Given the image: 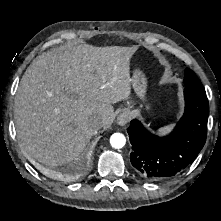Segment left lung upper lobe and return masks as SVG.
I'll use <instances>...</instances> for the list:
<instances>
[{
    "instance_id": "5c2ea615",
    "label": "left lung upper lobe",
    "mask_w": 221,
    "mask_h": 221,
    "mask_svg": "<svg viewBox=\"0 0 221 221\" xmlns=\"http://www.w3.org/2000/svg\"><path fill=\"white\" fill-rule=\"evenodd\" d=\"M184 84L187 89L205 93L202 83L191 69H185Z\"/></svg>"
}]
</instances>
